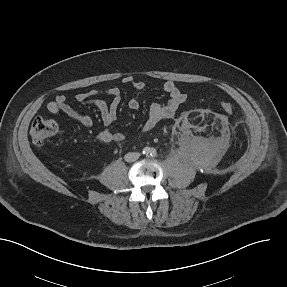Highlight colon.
Returning <instances> with one entry per match:
<instances>
[{
  "label": "colon",
  "mask_w": 287,
  "mask_h": 287,
  "mask_svg": "<svg viewBox=\"0 0 287 287\" xmlns=\"http://www.w3.org/2000/svg\"><path fill=\"white\" fill-rule=\"evenodd\" d=\"M221 109L225 113H232L234 110V105L225 101L221 103ZM58 133V124L48 118H36L30 128V136L32 141L37 146H43L49 139L55 137Z\"/></svg>",
  "instance_id": "1"
}]
</instances>
